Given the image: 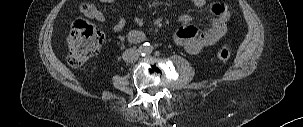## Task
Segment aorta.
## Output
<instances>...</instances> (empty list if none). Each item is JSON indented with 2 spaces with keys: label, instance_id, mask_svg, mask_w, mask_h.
<instances>
[{
  "label": "aorta",
  "instance_id": "obj_1",
  "mask_svg": "<svg viewBox=\"0 0 303 127\" xmlns=\"http://www.w3.org/2000/svg\"><path fill=\"white\" fill-rule=\"evenodd\" d=\"M150 51V46L145 44L143 47L140 49L141 54H147Z\"/></svg>",
  "mask_w": 303,
  "mask_h": 127
}]
</instances>
